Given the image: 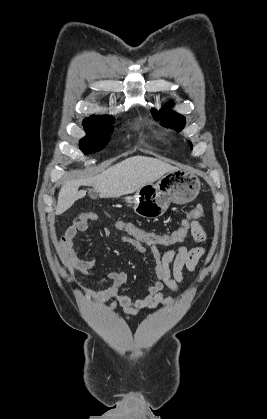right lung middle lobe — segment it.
I'll use <instances>...</instances> for the list:
<instances>
[{
  "mask_svg": "<svg viewBox=\"0 0 267 419\" xmlns=\"http://www.w3.org/2000/svg\"><path fill=\"white\" fill-rule=\"evenodd\" d=\"M110 116L92 115L84 119L83 126L87 135L80 141V149L85 153H92L103 149L109 142L113 128Z\"/></svg>",
  "mask_w": 267,
  "mask_h": 419,
  "instance_id": "obj_1",
  "label": "right lung middle lobe"
}]
</instances>
